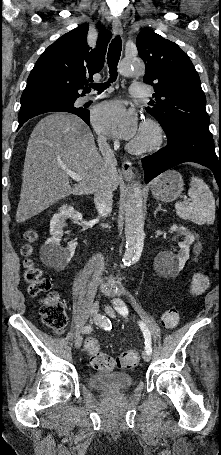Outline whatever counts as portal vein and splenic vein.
<instances>
[{
    "label": "portal vein and splenic vein",
    "instance_id": "portal-vein-and-splenic-vein-1",
    "mask_svg": "<svg viewBox=\"0 0 221 455\" xmlns=\"http://www.w3.org/2000/svg\"><path fill=\"white\" fill-rule=\"evenodd\" d=\"M67 174L75 181L77 182H81L82 181V177L78 174H76L75 172H72V171H69L67 170Z\"/></svg>",
    "mask_w": 221,
    "mask_h": 455
}]
</instances>
